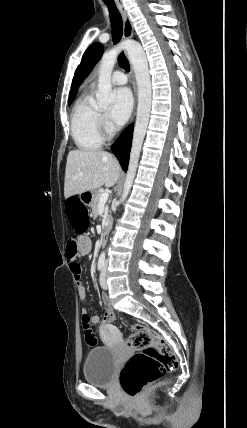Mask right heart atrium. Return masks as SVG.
<instances>
[{
	"label": "right heart atrium",
	"instance_id": "right-heart-atrium-1",
	"mask_svg": "<svg viewBox=\"0 0 247 428\" xmlns=\"http://www.w3.org/2000/svg\"><path fill=\"white\" fill-rule=\"evenodd\" d=\"M100 125H101V128L105 132L108 133L110 131V126H109L108 122L106 121V119L104 117H100Z\"/></svg>",
	"mask_w": 247,
	"mask_h": 428
}]
</instances>
